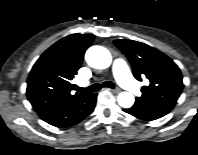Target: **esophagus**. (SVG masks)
I'll return each instance as SVG.
<instances>
[{
    "instance_id": "34e87169",
    "label": "esophagus",
    "mask_w": 198,
    "mask_h": 155,
    "mask_svg": "<svg viewBox=\"0 0 198 155\" xmlns=\"http://www.w3.org/2000/svg\"><path fill=\"white\" fill-rule=\"evenodd\" d=\"M121 90L119 88L112 89V92L119 93Z\"/></svg>"
}]
</instances>
